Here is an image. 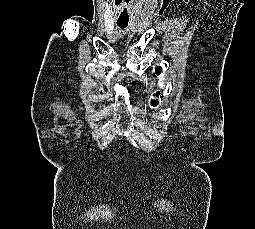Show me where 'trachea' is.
Segmentation results:
<instances>
[{"label": "trachea", "mask_w": 255, "mask_h": 229, "mask_svg": "<svg viewBox=\"0 0 255 229\" xmlns=\"http://www.w3.org/2000/svg\"><path fill=\"white\" fill-rule=\"evenodd\" d=\"M117 25L120 27V28H125L127 27V23H117Z\"/></svg>", "instance_id": "3493384b"}]
</instances>
